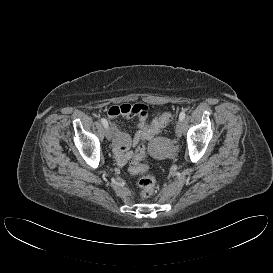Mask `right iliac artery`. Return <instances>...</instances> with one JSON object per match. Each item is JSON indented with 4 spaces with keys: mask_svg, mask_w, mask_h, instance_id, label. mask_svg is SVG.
<instances>
[{
    "mask_svg": "<svg viewBox=\"0 0 273 273\" xmlns=\"http://www.w3.org/2000/svg\"><path fill=\"white\" fill-rule=\"evenodd\" d=\"M101 122H102V124L104 125L105 128L108 126V122H107V120L105 118H102Z\"/></svg>",
    "mask_w": 273,
    "mask_h": 273,
    "instance_id": "right-iliac-artery-1",
    "label": "right iliac artery"
}]
</instances>
